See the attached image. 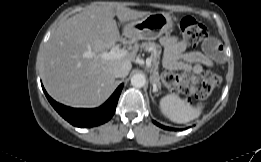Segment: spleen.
Returning <instances> with one entry per match:
<instances>
[{"label":"spleen","instance_id":"1","mask_svg":"<svg viewBox=\"0 0 261 162\" xmlns=\"http://www.w3.org/2000/svg\"><path fill=\"white\" fill-rule=\"evenodd\" d=\"M159 107L164 116L180 124L195 120L201 114L200 108L194 107L175 94L162 97L159 101Z\"/></svg>","mask_w":261,"mask_h":162}]
</instances>
